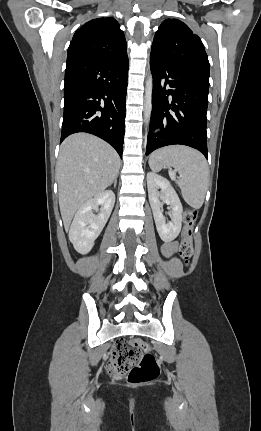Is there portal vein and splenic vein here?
Segmentation results:
<instances>
[{"label": "portal vein and splenic vein", "instance_id": "1", "mask_svg": "<svg viewBox=\"0 0 261 431\" xmlns=\"http://www.w3.org/2000/svg\"><path fill=\"white\" fill-rule=\"evenodd\" d=\"M171 176L174 178V174H171Z\"/></svg>", "mask_w": 261, "mask_h": 431}]
</instances>
